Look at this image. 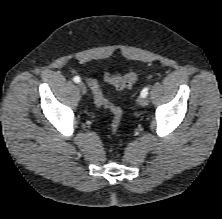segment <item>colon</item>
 Returning a JSON list of instances; mask_svg holds the SVG:
<instances>
[{"instance_id": "obj_1", "label": "colon", "mask_w": 222, "mask_h": 219, "mask_svg": "<svg viewBox=\"0 0 222 219\" xmlns=\"http://www.w3.org/2000/svg\"><path fill=\"white\" fill-rule=\"evenodd\" d=\"M103 77L107 82L112 84L117 89H125V88L131 87L136 82L137 77H138V72L136 70H132L123 76L114 75V74L105 72ZM90 88L93 92L95 104L97 106L105 107L110 110L112 114L111 130L112 132H116L120 126L121 119H122L121 108L115 103L109 101L104 96L98 84H91Z\"/></svg>"}]
</instances>
